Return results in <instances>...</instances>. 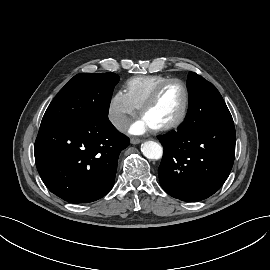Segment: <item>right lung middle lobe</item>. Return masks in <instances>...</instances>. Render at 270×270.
<instances>
[{
    "label": "right lung middle lobe",
    "instance_id": "1",
    "mask_svg": "<svg viewBox=\"0 0 270 270\" xmlns=\"http://www.w3.org/2000/svg\"><path fill=\"white\" fill-rule=\"evenodd\" d=\"M114 73H81L74 76L48 106L41 124L80 123L107 117L114 86Z\"/></svg>",
    "mask_w": 270,
    "mask_h": 270
}]
</instances>
